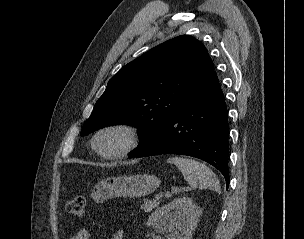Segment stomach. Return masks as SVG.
<instances>
[{"label": "stomach", "instance_id": "obj_1", "mask_svg": "<svg viewBox=\"0 0 304 239\" xmlns=\"http://www.w3.org/2000/svg\"><path fill=\"white\" fill-rule=\"evenodd\" d=\"M159 184L160 180L151 174L109 177L95 185L91 198L102 203L114 197H141L155 191Z\"/></svg>", "mask_w": 304, "mask_h": 239}]
</instances>
